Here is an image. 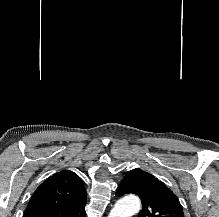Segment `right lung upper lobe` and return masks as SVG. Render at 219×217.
I'll return each mask as SVG.
<instances>
[{
	"instance_id": "right-lung-upper-lobe-1",
	"label": "right lung upper lobe",
	"mask_w": 219,
	"mask_h": 217,
	"mask_svg": "<svg viewBox=\"0 0 219 217\" xmlns=\"http://www.w3.org/2000/svg\"><path fill=\"white\" fill-rule=\"evenodd\" d=\"M85 204L83 180L63 170L36 189L23 217H85Z\"/></svg>"
}]
</instances>
